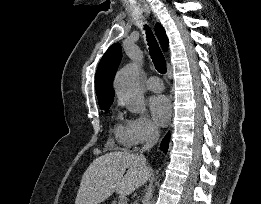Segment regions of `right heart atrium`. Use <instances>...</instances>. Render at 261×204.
Wrapping results in <instances>:
<instances>
[{"label": "right heart atrium", "mask_w": 261, "mask_h": 204, "mask_svg": "<svg viewBox=\"0 0 261 204\" xmlns=\"http://www.w3.org/2000/svg\"><path fill=\"white\" fill-rule=\"evenodd\" d=\"M128 144L137 146L152 141L158 135L155 123L144 114L137 115L127 122Z\"/></svg>", "instance_id": "1"}]
</instances>
